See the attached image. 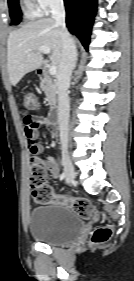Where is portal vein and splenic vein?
Here are the masks:
<instances>
[{
    "instance_id": "1",
    "label": "portal vein and splenic vein",
    "mask_w": 134,
    "mask_h": 281,
    "mask_svg": "<svg viewBox=\"0 0 134 281\" xmlns=\"http://www.w3.org/2000/svg\"><path fill=\"white\" fill-rule=\"evenodd\" d=\"M39 49L45 54L51 53V49L48 46L42 45L39 46ZM27 52H31V49H28ZM49 73L50 75H55L57 73V67L55 65H51L49 67Z\"/></svg>"
}]
</instances>
